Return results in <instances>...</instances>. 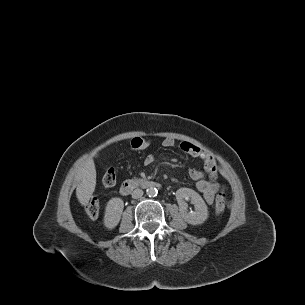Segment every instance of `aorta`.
I'll return each instance as SVG.
<instances>
[{
  "label": "aorta",
  "instance_id": "aorta-1",
  "mask_svg": "<svg viewBox=\"0 0 305 305\" xmlns=\"http://www.w3.org/2000/svg\"><path fill=\"white\" fill-rule=\"evenodd\" d=\"M146 193L149 197H155L158 194V190L154 186H150L146 189Z\"/></svg>",
  "mask_w": 305,
  "mask_h": 305
}]
</instances>
